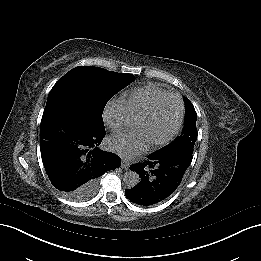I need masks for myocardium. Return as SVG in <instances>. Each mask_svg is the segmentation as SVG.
I'll use <instances>...</instances> for the list:
<instances>
[{"instance_id":"1","label":"myocardium","mask_w":261,"mask_h":261,"mask_svg":"<svg viewBox=\"0 0 261 261\" xmlns=\"http://www.w3.org/2000/svg\"><path fill=\"white\" fill-rule=\"evenodd\" d=\"M176 103L178 106V116L175 125L170 130V132L164 136L163 138L159 140H154L151 142L152 145H162L171 140L180 130L183 118H184V104L182 99L178 95L171 94L167 99H165L163 102H161L158 106L153 108L148 113L144 114L139 123L137 124L141 128H146L148 125V121H150L151 118L156 117L157 112L163 110L165 107H167L170 103Z\"/></svg>"}]
</instances>
